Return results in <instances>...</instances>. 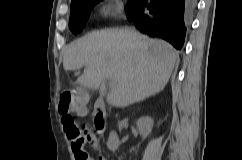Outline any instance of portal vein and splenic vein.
Listing matches in <instances>:
<instances>
[{
  "mask_svg": "<svg viewBox=\"0 0 242 160\" xmlns=\"http://www.w3.org/2000/svg\"><path fill=\"white\" fill-rule=\"evenodd\" d=\"M108 80H109V85L111 87H113L114 86V81L112 80V78L109 77Z\"/></svg>",
  "mask_w": 242,
  "mask_h": 160,
  "instance_id": "1",
  "label": "portal vein and splenic vein"
}]
</instances>
